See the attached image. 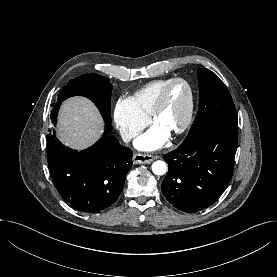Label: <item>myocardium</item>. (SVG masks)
<instances>
[{
	"instance_id": "f54148a6",
	"label": "myocardium",
	"mask_w": 277,
	"mask_h": 277,
	"mask_svg": "<svg viewBox=\"0 0 277 277\" xmlns=\"http://www.w3.org/2000/svg\"><path fill=\"white\" fill-rule=\"evenodd\" d=\"M176 83H182L186 86L187 91H188V98H187V105H186L185 116H184L183 122L181 123V125L179 126L178 129H176L174 132L171 133L172 136L181 135L183 132L186 131V129L191 124L192 116H193V109H194V93H193V89H192V86L190 85V83L187 80L180 78V77L171 79L162 88V90L156 100V103L152 109V112L150 114L151 122L155 124L157 117L159 116V114L161 113V111L163 110V108L165 106L169 90Z\"/></svg>"
}]
</instances>
